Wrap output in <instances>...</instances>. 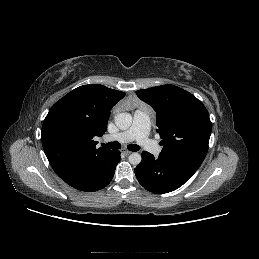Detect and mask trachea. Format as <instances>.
I'll list each match as a JSON object with an SVG mask.
<instances>
[{
	"instance_id": "obj_1",
	"label": "trachea",
	"mask_w": 259,
	"mask_h": 259,
	"mask_svg": "<svg viewBox=\"0 0 259 259\" xmlns=\"http://www.w3.org/2000/svg\"><path fill=\"white\" fill-rule=\"evenodd\" d=\"M102 146L109 149H119L121 144L119 142H109L107 144L102 143ZM128 150L136 152L140 149V147L136 144H130L127 146Z\"/></svg>"
}]
</instances>
